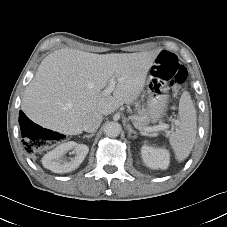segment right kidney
Returning a JSON list of instances; mask_svg holds the SVG:
<instances>
[{"label":"right kidney","mask_w":227,"mask_h":227,"mask_svg":"<svg viewBox=\"0 0 227 227\" xmlns=\"http://www.w3.org/2000/svg\"><path fill=\"white\" fill-rule=\"evenodd\" d=\"M72 151V157H66L68 151ZM89 147L85 144H78L69 141L57 146L42 158L45 168L55 173H67L75 170L83 162L88 154Z\"/></svg>","instance_id":"ca27d5eb"}]
</instances>
